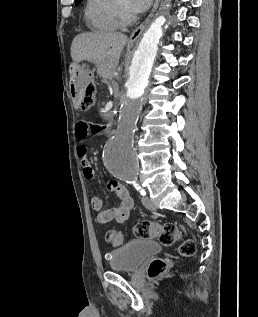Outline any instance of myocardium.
I'll list each match as a JSON object with an SVG mask.
<instances>
[{"label": "myocardium", "mask_w": 258, "mask_h": 317, "mask_svg": "<svg viewBox=\"0 0 258 317\" xmlns=\"http://www.w3.org/2000/svg\"><path fill=\"white\" fill-rule=\"evenodd\" d=\"M137 19V11L128 2L119 3L116 10V20L119 26H126L134 23Z\"/></svg>", "instance_id": "1"}]
</instances>
